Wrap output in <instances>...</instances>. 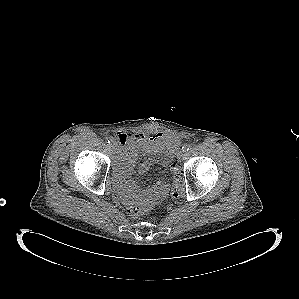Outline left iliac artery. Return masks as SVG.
Listing matches in <instances>:
<instances>
[{
    "label": "left iliac artery",
    "mask_w": 299,
    "mask_h": 299,
    "mask_svg": "<svg viewBox=\"0 0 299 299\" xmlns=\"http://www.w3.org/2000/svg\"><path fill=\"white\" fill-rule=\"evenodd\" d=\"M190 149V144H185L183 147H182V150L184 151H188Z\"/></svg>",
    "instance_id": "44dca946"
}]
</instances>
